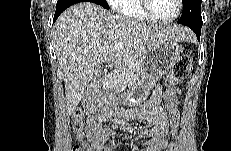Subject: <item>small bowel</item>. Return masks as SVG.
Returning a JSON list of instances; mask_svg holds the SVG:
<instances>
[{"label": "small bowel", "instance_id": "1", "mask_svg": "<svg viewBox=\"0 0 231 151\" xmlns=\"http://www.w3.org/2000/svg\"><path fill=\"white\" fill-rule=\"evenodd\" d=\"M180 94V90H176ZM163 89L157 86L152 96L141 109L132 113V117L148 123V127L141 131L147 139L142 144L144 151H163L168 146L169 123L168 115L162 105ZM109 114L92 115L87 120L86 140L80 139L81 147L78 151H112L111 143L116 141L114 132L106 128L103 123Z\"/></svg>", "mask_w": 231, "mask_h": 151}]
</instances>
